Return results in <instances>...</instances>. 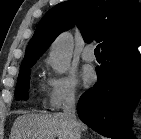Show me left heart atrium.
Instances as JSON below:
<instances>
[{
	"label": "left heart atrium",
	"mask_w": 141,
	"mask_h": 139,
	"mask_svg": "<svg viewBox=\"0 0 141 139\" xmlns=\"http://www.w3.org/2000/svg\"><path fill=\"white\" fill-rule=\"evenodd\" d=\"M82 83L85 87L90 86L95 81V72L89 67L82 69L80 73Z\"/></svg>",
	"instance_id": "1"
}]
</instances>
